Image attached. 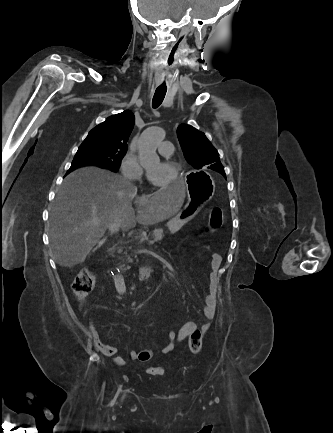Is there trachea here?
I'll use <instances>...</instances> for the list:
<instances>
[{
  "label": "trachea",
  "mask_w": 333,
  "mask_h": 433,
  "mask_svg": "<svg viewBox=\"0 0 333 433\" xmlns=\"http://www.w3.org/2000/svg\"><path fill=\"white\" fill-rule=\"evenodd\" d=\"M167 89L165 87H158L152 99V107L157 108L161 105L166 95Z\"/></svg>",
  "instance_id": "trachea-1"
}]
</instances>
